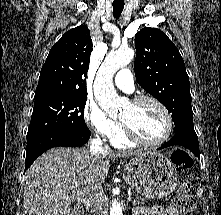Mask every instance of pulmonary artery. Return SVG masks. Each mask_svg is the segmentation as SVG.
<instances>
[{
  "label": "pulmonary artery",
  "instance_id": "e3ab8cb5",
  "mask_svg": "<svg viewBox=\"0 0 221 215\" xmlns=\"http://www.w3.org/2000/svg\"><path fill=\"white\" fill-rule=\"evenodd\" d=\"M117 87L131 92L134 88L133 76L129 69H121L114 78Z\"/></svg>",
  "mask_w": 221,
  "mask_h": 215
}]
</instances>
